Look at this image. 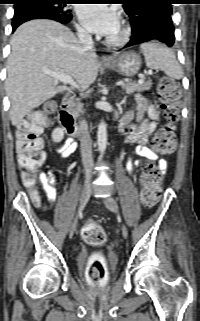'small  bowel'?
Here are the masks:
<instances>
[{
	"label": "small bowel",
	"instance_id": "c3829d8e",
	"mask_svg": "<svg viewBox=\"0 0 200 321\" xmlns=\"http://www.w3.org/2000/svg\"><path fill=\"white\" fill-rule=\"evenodd\" d=\"M159 119V113L155 105L150 103L146 98L137 96L134 108L126 110L120 119V130L126 137L127 143L136 144V153L148 160H157L159 169L164 172L167 169V162L149 147L146 143L156 128V122ZM76 149V144L68 139L61 147L57 149V153L61 158L70 157ZM140 165L139 160L128 158L126 163L127 171L132 174L135 167ZM40 181L43 185L48 200L53 203L56 199V177L54 170L40 174Z\"/></svg>",
	"mask_w": 200,
	"mask_h": 321
}]
</instances>
